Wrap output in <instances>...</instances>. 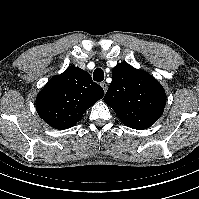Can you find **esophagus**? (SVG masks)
<instances>
[{
    "label": "esophagus",
    "mask_w": 199,
    "mask_h": 199,
    "mask_svg": "<svg viewBox=\"0 0 199 199\" xmlns=\"http://www.w3.org/2000/svg\"><path fill=\"white\" fill-rule=\"evenodd\" d=\"M100 86L103 88V90H104L105 92L107 91L108 85H107L106 82H101V83H100Z\"/></svg>",
    "instance_id": "1"
}]
</instances>
